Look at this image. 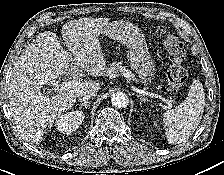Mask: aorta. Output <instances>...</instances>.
<instances>
[{"label":"aorta","instance_id":"1","mask_svg":"<svg viewBox=\"0 0 224 175\" xmlns=\"http://www.w3.org/2000/svg\"><path fill=\"white\" fill-rule=\"evenodd\" d=\"M111 103L115 108H125L129 103V98L124 92H117L112 95Z\"/></svg>","mask_w":224,"mask_h":175}]
</instances>
